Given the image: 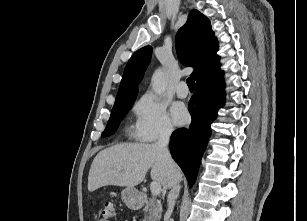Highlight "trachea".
<instances>
[{
	"label": "trachea",
	"instance_id": "3493384b",
	"mask_svg": "<svg viewBox=\"0 0 307 221\" xmlns=\"http://www.w3.org/2000/svg\"><path fill=\"white\" fill-rule=\"evenodd\" d=\"M187 85L189 87L190 90H194V86H195V80L193 77H189L187 79Z\"/></svg>",
	"mask_w": 307,
	"mask_h": 221
}]
</instances>
